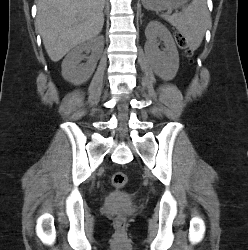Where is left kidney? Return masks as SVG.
<instances>
[{
  "label": "left kidney",
  "instance_id": "1",
  "mask_svg": "<svg viewBox=\"0 0 248 250\" xmlns=\"http://www.w3.org/2000/svg\"><path fill=\"white\" fill-rule=\"evenodd\" d=\"M146 51L151 58L154 73L163 80H172L179 68V55L171 33L157 21H151L146 29ZM157 39L163 41L165 51L158 49Z\"/></svg>",
  "mask_w": 248,
  "mask_h": 250
}]
</instances>
